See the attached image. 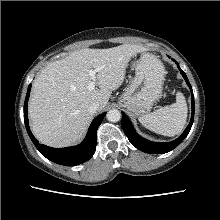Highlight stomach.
Masks as SVG:
<instances>
[{
	"label": "stomach",
	"instance_id": "0dacf381",
	"mask_svg": "<svg viewBox=\"0 0 220 220\" xmlns=\"http://www.w3.org/2000/svg\"><path fill=\"white\" fill-rule=\"evenodd\" d=\"M165 69L150 53H143L135 65V77L119 98V104L135 116L147 113L162 96Z\"/></svg>",
	"mask_w": 220,
	"mask_h": 220
}]
</instances>
